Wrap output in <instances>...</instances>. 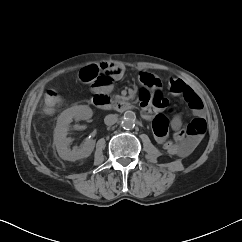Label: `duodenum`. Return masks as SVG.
<instances>
[{
	"instance_id": "410a0bca",
	"label": "duodenum",
	"mask_w": 242,
	"mask_h": 242,
	"mask_svg": "<svg viewBox=\"0 0 242 242\" xmlns=\"http://www.w3.org/2000/svg\"><path fill=\"white\" fill-rule=\"evenodd\" d=\"M92 103L99 109H115L118 111H127L134 109V104L123 99H113L104 91H95L92 97Z\"/></svg>"
}]
</instances>
